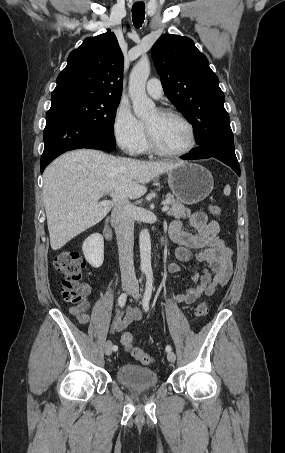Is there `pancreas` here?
<instances>
[{
	"instance_id": "pancreas-1",
	"label": "pancreas",
	"mask_w": 285,
	"mask_h": 453,
	"mask_svg": "<svg viewBox=\"0 0 285 453\" xmlns=\"http://www.w3.org/2000/svg\"><path fill=\"white\" fill-rule=\"evenodd\" d=\"M167 204L170 205V210L167 212V215L173 216L177 219L180 218H188L191 215V210L185 208L182 203L174 198L173 195L167 194L166 195Z\"/></svg>"
}]
</instances>
